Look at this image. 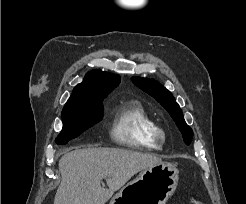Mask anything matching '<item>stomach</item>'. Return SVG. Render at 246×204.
<instances>
[{"mask_svg":"<svg viewBox=\"0 0 246 204\" xmlns=\"http://www.w3.org/2000/svg\"><path fill=\"white\" fill-rule=\"evenodd\" d=\"M178 174L170 163L161 162L144 169L109 204H165L177 187Z\"/></svg>","mask_w":246,"mask_h":204,"instance_id":"1","label":"stomach"}]
</instances>
